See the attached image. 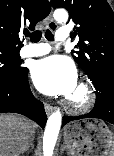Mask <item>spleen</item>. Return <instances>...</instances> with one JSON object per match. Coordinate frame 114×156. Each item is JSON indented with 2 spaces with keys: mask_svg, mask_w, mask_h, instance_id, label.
<instances>
[{
  "mask_svg": "<svg viewBox=\"0 0 114 156\" xmlns=\"http://www.w3.org/2000/svg\"><path fill=\"white\" fill-rule=\"evenodd\" d=\"M109 156H114V146L112 147V150L109 152Z\"/></svg>",
  "mask_w": 114,
  "mask_h": 156,
  "instance_id": "obj_1",
  "label": "spleen"
}]
</instances>
